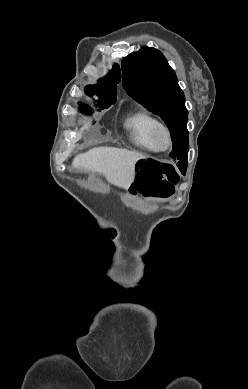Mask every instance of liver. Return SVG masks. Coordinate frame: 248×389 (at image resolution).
Returning a JSON list of instances; mask_svg holds the SVG:
<instances>
[{
	"instance_id": "obj_1",
	"label": "liver",
	"mask_w": 248,
	"mask_h": 389,
	"mask_svg": "<svg viewBox=\"0 0 248 389\" xmlns=\"http://www.w3.org/2000/svg\"><path fill=\"white\" fill-rule=\"evenodd\" d=\"M145 155L116 147H96L77 155L72 168L103 174L113 185L127 188L135 177V164Z\"/></svg>"
}]
</instances>
